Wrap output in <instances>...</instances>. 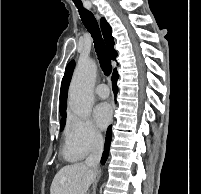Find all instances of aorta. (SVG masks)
<instances>
[{
	"mask_svg": "<svg viewBox=\"0 0 201 194\" xmlns=\"http://www.w3.org/2000/svg\"><path fill=\"white\" fill-rule=\"evenodd\" d=\"M97 65L92 59L79 60L70 84V110L79 117H87L93 107V88Z\"/></svg>",
	"mask_w": 201,
	"mask_h": 194,
	"instance_id": "1",
	"label": "aorta"
}]
</instances>
